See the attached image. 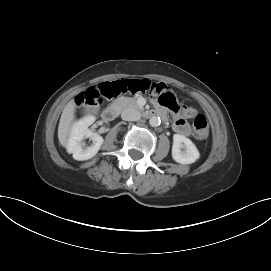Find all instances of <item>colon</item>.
<instances>
[{
    "label": "colon",
    "instance_id": "obj_1",
    "mask_svg": "<svg viewBox=\"0 0 271 271\" xmlns=\"http://www.w3.org/2000/svg\"><path fill=\"white\" fill-rule=\"evenodd\" d=\"M154 87L155 83L147 79H119L111 82H104L98 86L90 87L78 94L76 97V104L81 107H96L101 103L104 97L112 98L125 93H148L162 106L177 112L179 110V104L175 96L166 91V89H161L160 94H154ZM187 111L190 112L189 109H187ZM193 129L194 135L197 139H204L207 137L208 123L203 115L199 114L194 117Z\"/></svg>",
    "mask_w": 271,
    "mask_h": 271
}]
</instances>
